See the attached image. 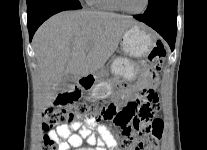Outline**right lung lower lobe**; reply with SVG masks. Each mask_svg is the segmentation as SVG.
Returning <instances> with one entry per match:
<instances>
[{
  "label": "right lung lower lobe",
  "mask_w": 207,
  "mask_h": 150,
  "mask_svg": "<svg viewBox=\"0 0 207 150\" xmlns=\"http://www.w3.org/2000/svg\"><path fill=\"white\" fill-rule=\"evenodd\" d=\"M82 6L67 0H48L40 6L27 10V26L29 30L30 41L38 27L52 15L64 11L81 9Z\"/></svg>",
  "instance_id": "1"
}]
</instances>
